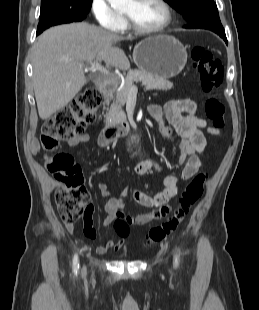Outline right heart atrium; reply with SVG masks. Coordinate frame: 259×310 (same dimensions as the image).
Masks as SVG:
<instances>
[{
    "label": "right heart atrium",
    "mask_w": 259,
    "mask_h": 310,
    "mask_svg": "<svg viewBox=\"0 0 259 310\" xmlns=\"http://www.w3.org/2000/svg\"><path fill=\"white\" fill-rule=\"evenodd\" d=\"M91 12L97 22L111 31H121L125 28V18L115 11L107 0H92Z\"/></svg>",
    "instance_id": "obj_1"
}]
</instances>
